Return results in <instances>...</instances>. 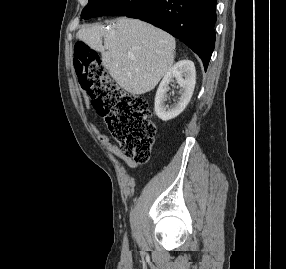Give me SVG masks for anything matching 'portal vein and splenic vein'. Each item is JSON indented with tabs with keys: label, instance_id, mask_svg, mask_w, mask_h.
Wrapping results in <instances>:
<instances>
[{
	"label": "portal vein and splenic vein",
	"instance_id": "1",
	"mask_svg": "<svg viewBox=\"0 0 286 269\" xmlns=\"http://www.w3.org/2000/svg\"><path fill=\"white\" fill-rule=\"evenodd\" d=\"M129 58H130L131 60H133V59H134V56H133V55H129Z\"/></svg>",
	"mask_w": 286,
	"mask_h": 269
}]
</instances>
